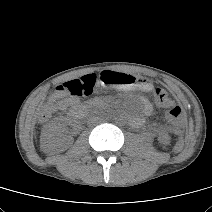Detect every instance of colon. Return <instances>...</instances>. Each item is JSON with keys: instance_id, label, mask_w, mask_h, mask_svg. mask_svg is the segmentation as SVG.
<instances>
[{"instance_id": "5ec220e1", "label": "colon", "mask_w": 212, "mask_h": 212, "mask_svg": "<svg viewBox=\"0 0 212 212\" xmlns=\"http://www.w3.org/2000/svg\"><path fill=\"white\" fill-rule=\"evenodd\" d=\"M97 74H87L80 78L73 79L64 82L56 87L55 98L49 101L46 105L42 107L39 113V120L46 121L52 114V112L58 107V99L63 96L72 97H83L92 95L98 84ZM153 94L156 103L168 109V118L174 123L179 124L181 121L183 110L180 106L176 105L174 101L168 96V94L159 87L153 88Z\"/></svg>"}]
</instances>
